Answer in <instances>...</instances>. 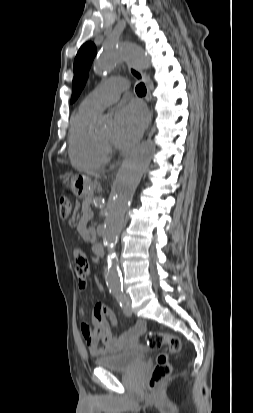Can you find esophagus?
I'll list each match as a JSON object with an SVG mask.
<instances>
[{
  "instance_id": "esophagus-1",
  "label": "esophagus",
  "mask_w": 253,
  "mask_h": 413,
  "mask_svg": "<svg viewBox=\"0 0 253 413\" xmlns=\"http://www.w3.org/2000/svg\"><path fill=\"white\" fill-rule=\"evenodd\" d=\"M128 69H129V73H130L136 80H138V81H140V82L146 83L145 75H144V73H143L140 69H137V68H135V67L132 66V65H129V66H128ZM147 100H148L149 102H151V100H152L151 92H150V89H149L148 86H147ZM152 117H153V108H152V105H151L150 117H149V124H150L151 121H152Z\"/></svg>"
}]
</instances>
